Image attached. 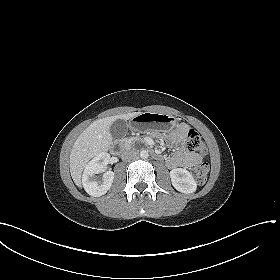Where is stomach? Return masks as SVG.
Listing matches in <instances>:
<instances>
[{"instance_id": "obj_1", "label": "stomach", "mask_w": 280, "mask_h": 280, "mask_svg": "<svg viewBox=\"0 0 280 280\" xmlns=\"http://www.w3.org/2000/svg\"><path fill=\"white\" fill-rule=\"evenodd\" d=\"M131 126L134 130L154 127L159 131L167 133L177 126V120L168 114L144 112L132 118Z\"/></svg>"}]
</instances>
